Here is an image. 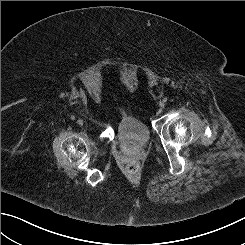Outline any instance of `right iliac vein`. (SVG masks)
Segmentation results:
<instances>
[{
    "label": "right iliac vein",
    "mask_w": 245,
    "mask_h": 245,
    "mask_svg": "<svg viewBox=\"0 0 245 245\" xmlns=\"http://www.w3.org/2000/svg\"><path fill=\"white\" fill-rule=\"evenodd\" d=\"M76 123H77L78 125L82 126V125H83V120H82V119H78V120L76 121Z\"/></svg>",
    "instance_id": "right-iliac-vein-1"
}]
</instances>
